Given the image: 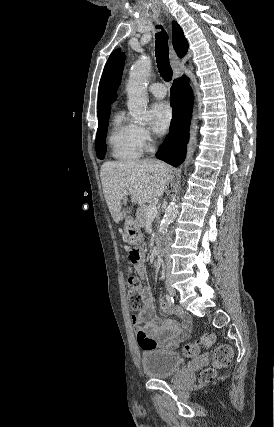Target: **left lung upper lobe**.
<instances>
[{"label": "left lung upper lobe", "instance_id": "obj_1", "mask_svg": "<svg viewBox=\"0 0 274 427\" xmlns=\"http://www.w3.org/2000/svg\"><path fill=\"white\" fill-rule=\"evenodd\" d=\"M124 60H125V56L124 54H121V56L115 62L109 74V77L107 79L106 96H107V100L110 102H113L116 99V91L120 84V79H121L123 67H124Z\"/></svg>", "mask_w": 274, "mask_h": 427}]
</instances>
